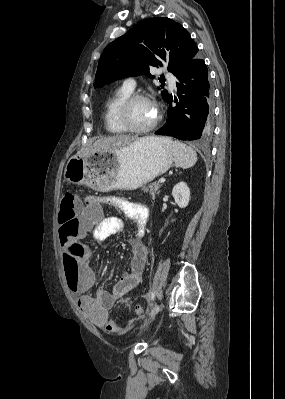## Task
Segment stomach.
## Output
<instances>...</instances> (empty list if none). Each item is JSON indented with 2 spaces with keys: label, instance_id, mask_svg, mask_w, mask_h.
Returning <instances> with one entry per match:
<instances>
[{
  "label": "stomach",
  "instance_id": "1",
  "mask_svg": "<svg viewBox=\"0 0 285 399\" xmlns=\"http://www.w3.org/2000/svg\"><path fill=\"white\" fill-rule=\"evenodd\" d=\"M174 161L168 138L138 139L116 152L72 156L64 170L67 182L97 191L136 189L170 169Z\"/></svg>",
  "mask_w": 285,
  "mask_h": 399
}]
</instances>
